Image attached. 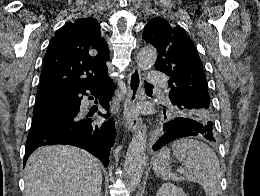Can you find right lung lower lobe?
Segmentation results:
<instances>
[{"label":"right lung lower lobe","mask_w":260,"mask_h":196,"mask_svg":"<svg viewBox=\"0 0 260 196\" xmlns=\"http://www.w3.org/2000/svg\"><path fill=\"white\" fill-rule=\"evenodd\" d=\"M114 89L115 85L109 78L105 82L40 107L69 117L31 128L25 147L24 165L30 154L40 146L67 144L85 149L99 158L105 166H108L109 153L115 138L114 122L109 120L101 123L98 119L99 116L107 119L110 114L97 112V118H95L94 112L84 116L79 111L83 96L88 95L86 90L91 91L96 102L98 100L101 106L108 109ZM89 99L93 100V97H89Z\"/></svg>","instance_id":"1"}]
</instances>
